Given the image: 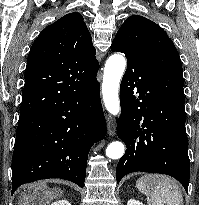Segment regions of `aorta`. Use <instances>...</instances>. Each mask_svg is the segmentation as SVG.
<instances>
[{
  "label": "aorta",
  "instance_id": "1",
  "mask_svg": "<svg viewBox=\"0 0 199 205\" xmlns=\"http://www.w3.org/2000/svg\"><path fill=\"white\" fill-rule=\"evenodd\" d=\"M126 66L125 58L120 54L109 57L105 64L102 95L107 111L113 115L120 113L119 85ZM125 152L122 142L116 141L108 145L106 156L111 159H119Z\"/></svg>",
  "mask_w": 199,
  "mask_h": 205
}]
</instances>
